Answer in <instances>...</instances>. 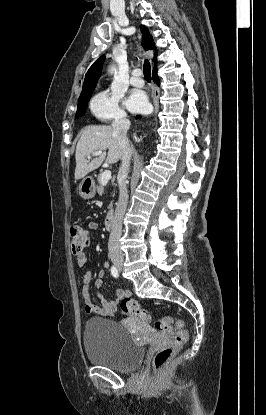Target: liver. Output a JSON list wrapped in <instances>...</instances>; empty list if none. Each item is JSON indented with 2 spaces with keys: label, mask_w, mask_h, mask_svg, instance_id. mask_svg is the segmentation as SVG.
<instances>
[{
  "label": "liver",
  "mask_w": 266,
  "mask_h": 415,
  "mask_svg": "<svg viewBox=\"0 0 266 415\" xmlns=\"http://www.w3.org/2000/svg\"><path fill=\"white\" fill-rule=\"evenodd\" d=\"M99 157L88 161L86 158L95 151H105ZM122 155L117 138L113 135L111 126L90 125L80 132V139L76 146L75 180L84 178L89 172L97 169L105 160L108 164L116 163Z\"/></svg>",
  "instance_id": "6515ba94"
}]
</instances>
